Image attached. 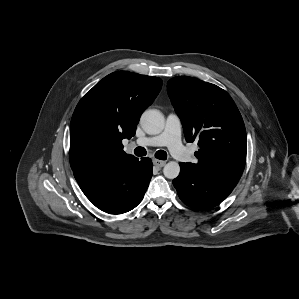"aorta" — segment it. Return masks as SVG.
Instances as JSON below:
<instances>
[{"label":"aorta","mask_w":299,"mask_h":299,"mask_svg":"<svg viewBox=\"0 0 299 299\" xmlns=\"http://www.w3.org/2000/svg\"><path fill=\"white\" fill-rule=\"evenodd\" d=\"M140 124L147 134L156 135L163 131L165 119L159 110L148 109L141 115ZM163 173L166 178L175 179L180 173V166L177 162L170 161L164 166Z\"/></svg>","instance_id":"aorta-1"}]
</instances>
